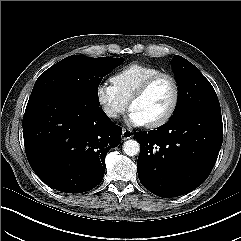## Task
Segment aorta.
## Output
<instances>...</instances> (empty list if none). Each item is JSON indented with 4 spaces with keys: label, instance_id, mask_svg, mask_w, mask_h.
Returning a JSON list of instances; mask_svg holds the SVG:
<instances>
[{
    "label": "aorta",
    "instance_id": "obj_1",
    "mask_svg": "<svg viewBox=\"0 0 241 241\" xmlns=\"http://www.w3.org/2000/svg\"><path fill=\"white\" fill-rule=\"evenodd\" d=\"M123 151L128 156H135L140 151V145L136 140H127L123 144Z\"/></svg>",
    "mask_w": 241,
    "mask_h": 241
}]
</instances>
